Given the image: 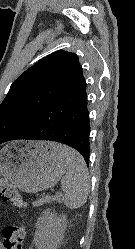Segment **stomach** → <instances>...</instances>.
Here are the masks:
<instances>
[{
	"label": "stomach",
	"mask_w": 135,
	"mask_h": 249,
	"mask_svg": "<svg viewBox=\"0 0 135 249\" xmlns=\"http://www.w3.org/2000/svg\"><path fill=\"white\" fill-rule=\"evenodd\" d=\"M66 169V161L53 151L51 142L18 141L0 150V173L26 193L53 187Z\"/></svg>",
	"instance_id": "1"
}]
</instances>
